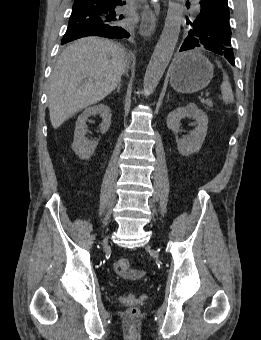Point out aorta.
<instances>
[{"mask_svg":"<svg viewBox=\"0 0 261 340\" xmlns=\"http://www.w3.org/2000/svg\"><path fill=\"white\" fill-rule=\"evenodd\" d=\"M184 0H169L165 25L151 56L144 76L143 86L152 92L162 78L178 41Z\"/></svg>","mask_w":261,"mask_h":340,"instance_id":"obj_1","label":"aorta"}]
</instances>
